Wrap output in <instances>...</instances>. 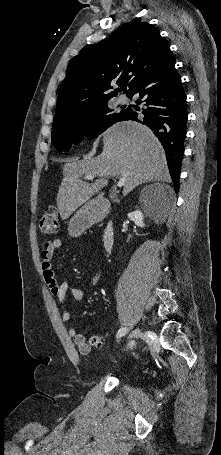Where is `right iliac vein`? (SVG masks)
<instances>
[{"instance_id": "1", "label": "right iliac vein", "mask_w": 221, "mask_h": 455, "mask_svg": "<svg viewBox=\"0 0 221 455\" xmlns=\"http://www.w3.org/2000/svg\"><path fill=\"white\" fill-rule=\"evenodd\" d=\"M141 335V330L139 328L135 329L129 337L131 338H138Z\"/></svg>"}]
</instances>
